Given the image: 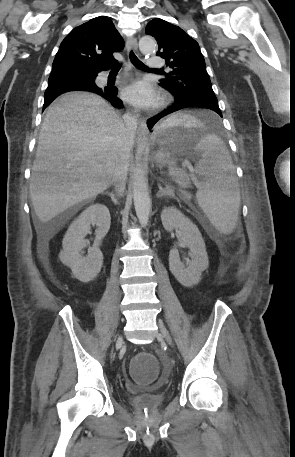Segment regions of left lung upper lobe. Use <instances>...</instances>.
Returning <instances> with one entry per match:
<instances>
[{
  "label": "left lung upper lobe",
  "mask_w": 295,
  "mask_h": 457,
  "mask_svg": "<svg viewBox=\"0 0 295 457\" xmlns=\"http://www.w3.org/2000/svg\"><path fill=\"white\" fill-rule=\"evenodd\" d=\"M146 33L157 40L159 51L156 55L164 58L166 65L172 69L163 73L166 78L160 81V86L170 91L177 100L215 95L199 44L193 38L180 27L159 18L147 24Z\"/></svg>",
  "instance_id": "1"
}]
</instances>
